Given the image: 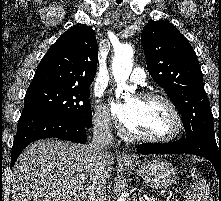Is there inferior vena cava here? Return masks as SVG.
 I'll list each match as a JSON object with an SVG mask.
<instances>
[{"label": "inferior vena cava", "instance_id": "1", "mask_svg": "<svg viewBox=\"0 0 221 201\" xmlns=\"http://www.w3.org/2000/svg\"><path fill=\"white\" fill-rule=\"evenodd\" d=\"M113 144L114 138L110 130L109 118L102 116L94 122L93 139L89 145L93 171L88 201L106 200V167L110 158L108 149Z\"/></svg>", "mask_w": 221, "mask_h": 201}]
</instances>
